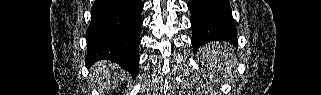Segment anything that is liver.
Segmentation results:
<instances>
[{"instance_id":"1","label":"liver","mask_w":321,"mask_h":95,"mask_svg":"<svg viewBox=\"0 0 321 95\" xmlns=\"http://www.w3.org/2000/svg\"><path fill=\"white\" fill-rule=\"evenodd\" d=\"M93 75L100 81V86L106 90L116 88L126 79V72L118 69L115 64L100 61L92 68Z\"/></svg>"}]
</instances>
